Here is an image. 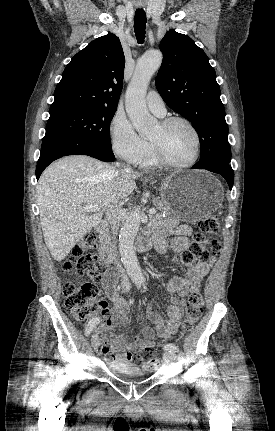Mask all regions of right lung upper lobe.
Returning <instances> with one entry per match:
<instances>
[{
	"label": "right lung upper lobe",
	"mask_w": 275,
	"mask_h": 431,
	"mask_svg": "<svg viewBox=\"0 0 275 431\" xmlns=\"http://www.w3.org/2000/svg\"><path fill=\"white\" fill-rule=\"evenodd\" d=\"M124 66L123 49L114 34L90 42L66 66L50 113L73 108H117Z\"/></svg>",
	"instance_id": "obj_1"
}]
</instances>
